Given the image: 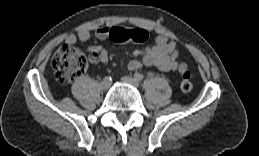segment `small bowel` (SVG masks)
<instances>
[{"instance_id": "1", "label": "small bowel", "mask_w": 259, "mask_h": 156, "mask_svg": "<svg viewBox=\"0 0 259 156\" xmlns=\"http://www.w3.org/2000/svg\"><path fill=\"white\" fill-rule=\"evenodd\" d=\"M115 29H119V27H100L95 31V37L98 40H105L110 38L112 31ZM89 38L90 33L87 30H81L77 35H68L66 42L68 44H73L77 40L85 42ZM88 51L90 53L91 62H100L103 64L109 62L108 53L102 47L91 45L88 47ZM133 54L137 59H133L128 63V69L131 71H137L145 66L155 67L164 72H176L182 75L187 70L186 64L179 61L177 43L165 35H158L152 45L137 48L134 50Z\"/></svg>"}]
</instances>
